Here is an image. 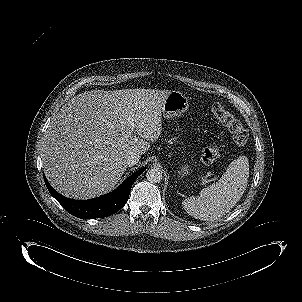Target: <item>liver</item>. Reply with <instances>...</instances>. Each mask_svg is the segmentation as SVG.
Masks as SVG:
<instances>
[{"mask_svg":"<svg viewBox=\"0 0 302 302\" xmlns=\"http://www.w3.org/2000/svg\"><path fill=\"white\" fill-rule=\"evenodd\" d=\"M169 92L92 90L73 97L46 135L42 160L52 187L75 199L111 191L127 169L126 155H143L160 137V110Z\"/></svg>","mask_w":302,"mask_h":302,"instance_id":"liver-1","label":"liver"}]
</instances>
